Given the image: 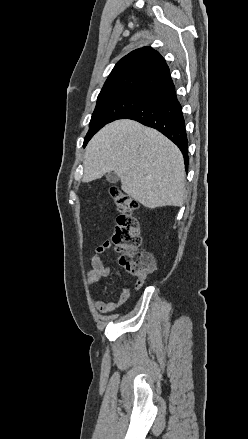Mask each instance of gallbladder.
<instances>
[{
  "label": "gallbladder",
  "instance_id": "obj_1",
  "mask_svg": "<svg viewBox=\"0 0 248 439\" xmlns=\"http://www.w3.org/2000/svg\"><path fill=\"white\" fill-rule=\"evenodd\" d=\"M106 179H107V181H108L109 183H116V182H118L119 177H118V175H117L115 172H109V173L106 175Z\"/></svg>",
  "mask_w": 248,
  "mask_h": 439
}]
</instances>
